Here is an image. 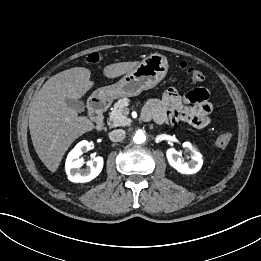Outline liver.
<instances>
[{
	"label": "liver",
	"instance_id": "6515ba94",
	"mask_svg": "<svg viewBox=\"0 0 261 261\" xmlns=\"http://www.w3.org/2000/svg\"><path fill=\"white\" fill-rule=\"evenodd\" d=\"M140 62H119L104 67L107 78L119 77ZM91 71L75 67L49 78L35 94L29 107V130L34 149L48 170L56 172L69 146L81 135L94 129L85 116H78L65 99H80L94 83Z\"/></svg>",
	"mask_w": 261,
	"mask_h": 261
}]
</instances>
